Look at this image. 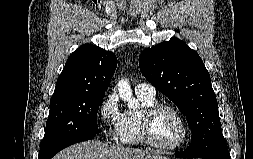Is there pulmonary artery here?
<instances>
[{
  "mask_svg": "<svg viewBox=\"0 0 253 159\" xmlns=\"http://www.w3.org/2000/svg\"><path fill=\"white\" fill-rule=\"evenodd\" d=\"M135 93L137 95H146V96L153 97L156 95V90L154 86L150 83H141V84L136 85Z\"/></svg>",
  "mask_w": 253,
  "mask_h": 159,
  "instance_id": "pulmonary-artery-1",
  "label": "pulmonary artery"
}]
</instances>
